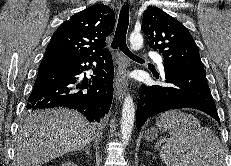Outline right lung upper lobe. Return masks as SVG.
<instances>
[{
	"label": "right lung upper lobe",
	"mask_w": 231,
	"mask_h": 166,
	"mask_svg": "<svg viewBox=\"0 0 231 166\" xmlns=\"http://www.w3.org/2000/svg\"><path fill=\"white\" fill-rule=\"evenodd\" d=\"M115 25L113 10L103 4L93 5L74 14L54 32L46 53L91 57L106 54L105 39Z\"/></svg>",
	"instance_id": "right-lung-upper-lobe-1"
}]
</instances>
